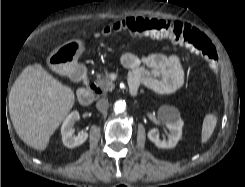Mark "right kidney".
Returning a JSON list of instances; mask_svg holds the SVG:
<instances>
[{
  "instance_id": "1",
  "label": "right kidney",
  "mask_w": 245,
  "mask_h": 187,
  "mask_svg": "<svg viewBox=\"0 0 245 187\" xmlns=\"http://www.w3.org/2000/svg\"><path fill=\"white\" fill-rule=\"evenodd\" d=\"M80 119L78 111H72L64 120L61 126V135L63 144L68 148H74L83 144L87 138L88 133L81 131L78 135H74V123Z\"/></svg>"
}]
</instances>
